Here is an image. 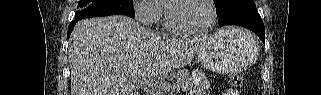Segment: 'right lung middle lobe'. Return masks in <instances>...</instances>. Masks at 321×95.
<instances>
[{"label":"right lung middle lobe","mask_w":321,"mask_h":95,"mask_svg":"<svg viewBox=\"0 0 321 95\" xmlns=\"http://www.w3.org/2000/svg\"><path fill=\"white\" fill-rule=\"evenodd\" d=\"M76 20L122 14L135 18L132 0H80Z\"/></svg>","instance_id":"obj_1"}]
</instances>
